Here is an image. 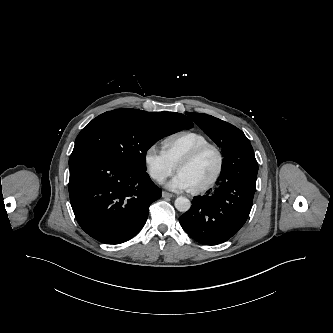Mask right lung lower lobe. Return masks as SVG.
<instances>
[{"label": "right lung lower lobe", "instance_id": "98d812e1", "mask_svg": "<svg viewBox=\"0 0 333 333\" xmlns=\"http://www.w3.org/2000/svg\"><path fill=\"white\" fill-rule=\"evenodd\" d=\"M69 169L76 220L102 243L120 244L134 237L146 223L150 204L161 197L146 172L131 170L89 147L73 150Z\"/></svg>", "mask_w": 333, "mask_h": 333}]
</instances>
